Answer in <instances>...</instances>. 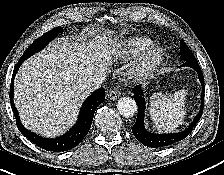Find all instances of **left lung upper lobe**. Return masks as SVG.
I'll use <instances>...</instances> for the list:
<instances>
[{"label":"left lung upper lobe","instance_id":"5c2ea615","mask_svg":"<svg viewBox=\"0 0 224 175\" xmlns=\"http://www.w3.org/2000/svg\"><path fill=\"white\" fill-rule=\"evenodd\" d=\"M180 58L188 63H198L190 49L186 46L184 41H181Z\"/></svg>","mask_w":224,"mask_h":175}]
</instances>
